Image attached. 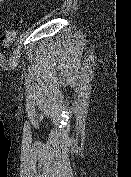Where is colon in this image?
Masks as SVG:
<instances>
[{
	"mask_svg": "<svg viewBox=\"0 0 131 177\" xmlns=\"http://www.w3.org/2000/svg\"><path fill=\"white\" fill-rule=\"evenodd\" d=\"M18 35V29L17 28H10L6 34L2 37V47L7 48L9 47L16 39Z\"/></svg>",
	"mask_w": 131,
	"mask_h": 177,
	"instance_id": "obj_1",
	"label": "colon"
}]
</instances>
